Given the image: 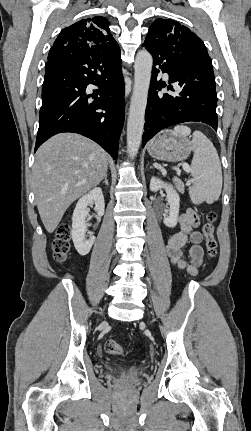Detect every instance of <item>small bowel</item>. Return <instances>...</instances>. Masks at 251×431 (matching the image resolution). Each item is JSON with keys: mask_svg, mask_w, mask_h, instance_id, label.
Returning a JSON list of instances; mask_svg holds the SVG:
<instances>
[{"mask_svg": "<svg viewBox=\"0 0 251 431\" xmlns=\"http://www.w3.org/2000/svg\"><path fill=\"white\" fill-rule=\"evenodd\" d=\"M199 224V217L193 209H187L179 217L180 229L171 235L167 241L166 253L172 265L180 271H186L189 275L195 276L203 262V249L200 243L203 235L200 231L194 230ZM188 243V257H185V248Z\"/></svg>", "mask_w": 251, "mask_h": 431, "instance_id": "small-bowel-1", "label": "small bowel"}]
</instances>
